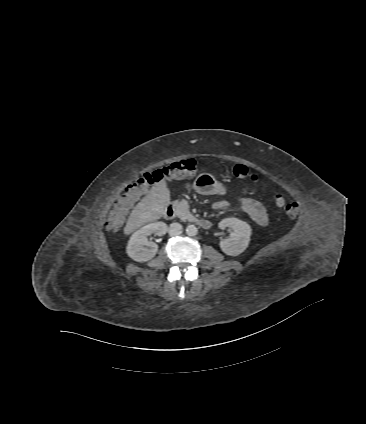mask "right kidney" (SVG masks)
Listing matches in <instances>:
<instances>
[{"label": "right kidney", "mask_w": 366, "mask_h": 424, "mask_svg": "<svg viewBox=\"0 0 366 424\" xmlns=\"http://www.w3.org/2000/svg\"><path fill=\"white\" fill-rule=\"evenodd\" d=\"M168 230L164 222H153L137 230L130 237L126 252L130 258L137 262H146L151 260L158 251V245L148 241L147 236L156 234L163 236ZM148 246V247H145Z\"/></svg>", "instance_id": "1"}]
</instances>
